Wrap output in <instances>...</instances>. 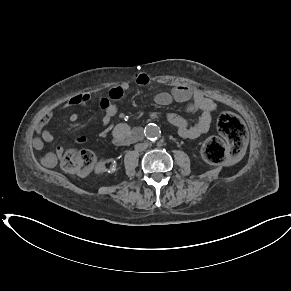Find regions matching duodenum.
Here are the masks:
<instances>
[{
	"label": "duodenum",
	"instance_id": "duodenum-1",
	"mask_svg": "<svg viewBox=\"0 0 291 291\" xmlns=\"http://www.w3.org/2000/svg\"><path fill=\"white\" fill-rule=\"evenodd\" d=\"M143 137V132L141 129H136L134 130L127 139H115V144L118 146H123L126 145L130 142H135L138 141L140 139H142Z\"/></svg>",
	"mask_w": 291,
	"mask_h": 291
}]
</instances>
